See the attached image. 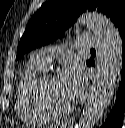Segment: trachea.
I'll list each match as a JSON object with an SVG mask.
<instances>
[{
  "mask_svg": "<svg viewBox=\"0 0 125 128\" xmlns=\"http://www.w3.org/2000/svg\"><path fill=\"white\" fill-rule=\"evenodd\" d=\"M90 51H95V49H91Z\"/></svg>",
  "mask_w": 125,
  "mask_h": 128,
  "instance_id": "1",
  "label": "trachea"
}]
</instances>
